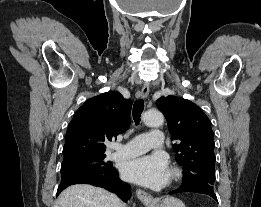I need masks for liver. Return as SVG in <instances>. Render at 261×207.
<instances>
[{
    "label": "liver",
    "instance_id": "6515ba94",
    "mask_svg": "<svg viewBox=\"0 0 261 207\" xmlns=\"http://www.w3.org/2000/svg\"><path fill=\"white\" fill-rule=\"evenodd\" d=\"M54 207H121V201L105 189L76 184L59 195Z\"/></svg>",
    "mask_w": 261,
    "mask_h": 207
}]
</instances>
